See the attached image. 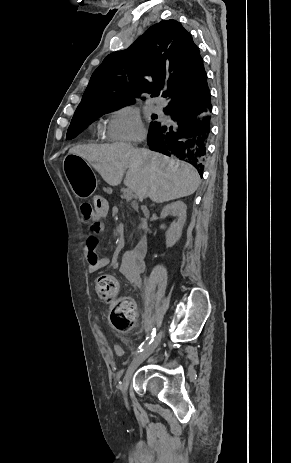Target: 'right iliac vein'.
<instances>
[{
    "label": "right iliac vein",
    "mask_w": 291,
    "mask_h": 463,
    "mask_svg": "<svg viewBox=\"0 0 291 463\" xmlns=\"http://www.w3.org/2000/svg\"><path fill=\"white\" fill-rule=\"evenodd\" d=\"M162 333H159L150 344H147L143 350L132 360V362L129 364L124 379H123V384H122V391L124 394V397L126 399V392L129 386V382L135 372V370L138 368V366L147 358L149 357L153 351L157 348L161 341Z\"/></svg>",
    "instance_id": "63e3f726"
}]
</instances>
